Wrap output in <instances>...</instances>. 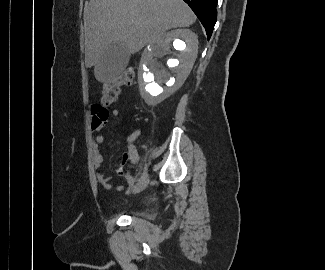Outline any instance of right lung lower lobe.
Masks as SVG:
<instances>
[{
  "label": "right lung lower lobe",
  "mask_w": 325,
  "mask_h": 270,
  "mask_svg": "<svg viewBox=\"0 0 325 270\" xmlns=\"http://www.w3.org/2000/svg\"><path fill=\"white\" fill-rule=\"evenodd\" d=\"M196 14L204 26L208 39L211 37L214 25L217 20L218 0H184Z\"/></svg>",
  "instance_id": "98d812e1"
}]
</instances>
